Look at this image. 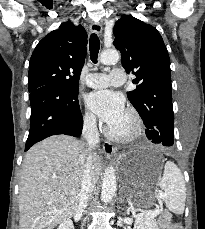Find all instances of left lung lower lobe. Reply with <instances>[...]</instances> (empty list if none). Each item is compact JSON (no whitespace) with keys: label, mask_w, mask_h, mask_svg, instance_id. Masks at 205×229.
<instances>
[{"label":"left lung lower lobe","mask_w":205,"mask_h":229,"mask_svg":"<svg viewBox=\"0 0 205 229\" xmlns=\"http://www.w3.org/2000/svg\"><path fill=\"white\" fill-rule=\"evenodd\" d=\"M152 133L147 134V137L153 143H161L162 141L167 140V134L161 127H155V129L151 130Z\"/></svg>","instance_id":"obj_1"}]
</instances>
